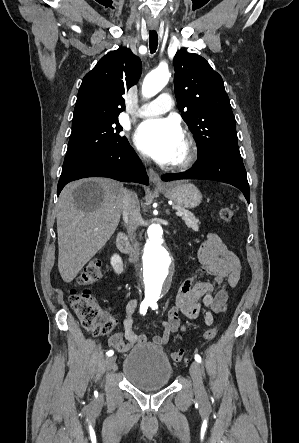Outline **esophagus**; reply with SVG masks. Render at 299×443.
Wrapping results in <instances>:
<instances>
[{
  "label": "esophagus",
  "instance_id": "esophagus-1",
  "mask_svg": "<svg viewBox=\"0 0 299 443\" xmlns=\"http://www.w3.org/2000/svg\"><path fill=\"white\" fill-rule=\"evenodd\" d=\"M149 179L155 186H164L160 180L158 173H156L153 169H149Z\"/></svg>",
  "mask_w": 299,
  "mask_h": 443
}]
</instances>
